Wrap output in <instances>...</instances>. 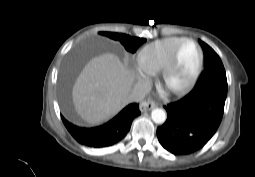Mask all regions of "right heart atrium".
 <instances>
[{
	"instance_id": "d8ad5b80",
	"label": "right heart atrium",
	"mask_w": 255,
	"mask_h": 177,
	"mask_svg": "<svg viewBox=\"0 0 255 177\" xmlns=\"http://www.w3.org/2000/svg\"><path fill=\"white\" fill-rule=\"evenodd\" d=\"M137 72H138L140 78H142L144 80H147L150 76H152L154 74V70L153 69H149L148 67H146L140 61V59H138Z\"/></svg>"
}]
</instances>
